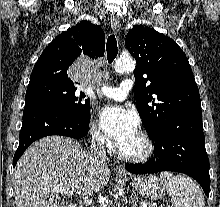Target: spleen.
<instances>
[{
	"label": "spleen",
	"instance_id": "spleen-1",
	"mask_svg": "<svg viewBox=\"0 0 220 207\" xmlns=\"http://www.w3.org/2000/svg\"><path fill=\"white\" fill-rule=\"evenodd\" d=\"M160 177L171 197L172 207H205L202 190L191 178L168 172H162Z\"/></svg>",
	"mask_w": 220,
	"mask_h": 207
}]
</instances>
